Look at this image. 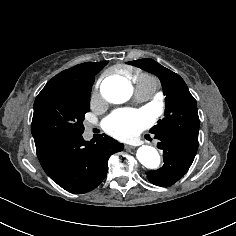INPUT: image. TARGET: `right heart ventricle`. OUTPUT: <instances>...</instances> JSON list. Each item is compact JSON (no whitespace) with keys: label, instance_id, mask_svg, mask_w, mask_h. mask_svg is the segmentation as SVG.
Segmentation results:
<instances>
[{"label":"right heart ventricle","instance_id":"obj_1","mask_svg":"<svg viewBox=\"0 0 236 236\" xmlns=\"http://www.w3.org/2000/svg\"><path fill=\"white\" fill-rule=\"evenodd\" d=\"M131 82L134 84V88L136 87H147L156 89L158 86V82L156 78H154L152 75L143 73V72H137L130 76Z\"/></svg>","mask_w":236,"mask_h":236}]
</instances>
